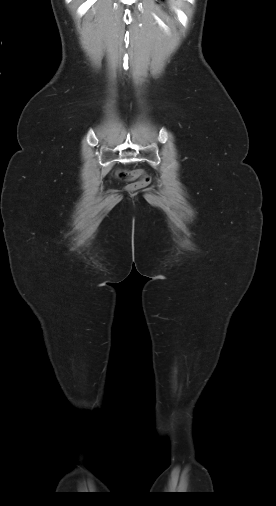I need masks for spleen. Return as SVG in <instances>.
<instances>
[{"label":"spleen","mask_w":276,"mask_h":506,"mask_svg":"<svg viewBox=\"0 0 276 506\" xmlns=\"http://www.w3.org/2000/svg\"><path fill=\"white\" fill-rule=\"evenodd\" d=\"M173 1V0H172ZM175 5H179V2L174 3Z\"/></svg>","instance_id":"spleen-1"}]
</instances>
